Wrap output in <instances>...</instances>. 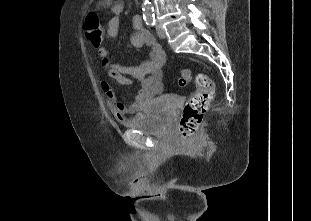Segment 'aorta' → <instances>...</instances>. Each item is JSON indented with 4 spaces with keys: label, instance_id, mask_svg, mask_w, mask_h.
Masks as SVG:
<instances>
[{
    "label": "aorta",
    "instance_id": "aorta-1",
    "mask_svg": "<svg viewBox=\"0 0 311 221\" xmlns=\"http://www.w3.org/2000/svg\"><path fill=\"white\" fill-rule=\"evenodd\" d=\"M142 8H143V14H144L145 20H153L154 10H153V6L151 2H148V0H145V2H143L142 4Z\"/></svg>",
    "mask_w": 311,
    "mask_h": 221
}]
</instances>
